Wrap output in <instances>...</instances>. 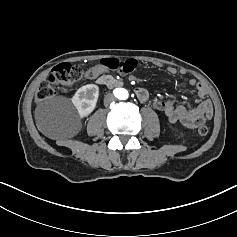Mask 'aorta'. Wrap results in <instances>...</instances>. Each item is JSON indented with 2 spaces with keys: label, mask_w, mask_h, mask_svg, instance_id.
Returning a JSON list of instances; mask_svg holds the SVG:
<instances>
[{
  "label": "aorta",
  "mask_w": 237,
  "mask_h": 237,
  "mask_svg": "<svg viewBox=\"0 0 237 237\" xmlns=\"http://www.w3.org/2000/svg\"><path fill=\"white\" fill-rule=\"evenodd\" d=\"M128 98V91L124 88L119 89V99L125 100Z\"/></svg>",
  "instance_id": "obj_1"
}]
</instances>
